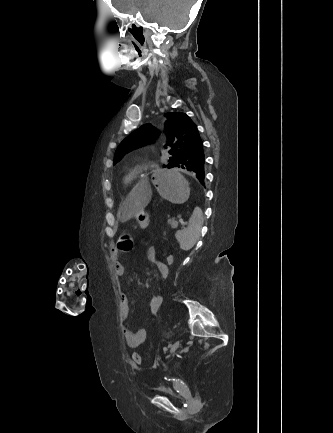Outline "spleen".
<instances>
[{"label": "spleen", "instance_id": "spleen-1", "mask_svg": "<svg viewBox=\"0 0 333 433\" xmlns=\"http://www.w3.org/2000/svg\"><path fill=\"white\" fill-rule=\"evenodd\" d=\"M202 218V209L196 206L193 209L188 226L176 232L175 236L182 250H190L198 241L203 224Z\"/></svg>", "mask_w": 333, "mask_h": 433}]
</instances>
